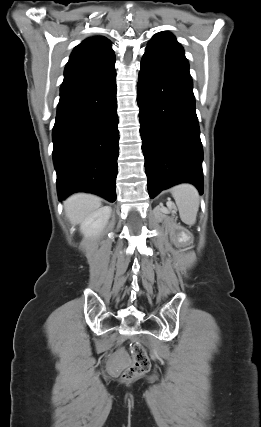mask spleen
Segmentation results:
<instances>
[{
	"instance_id": "1",
	"label": "spleen",
	"mask_w": 261,
	"mask_h": 427,
	"mask_svg": "<svg viewBox=\"0 0 261 427\" xmlns=\"http://www.w3.org/2000/svg\"><path fill=\"white\" fill-rule=\"evenodd\" d=\"M172 196L182 222L190 226L195 224L200 201L197 189L191 184H180L172 188Z\"/></svg>"
}]
</instances>
